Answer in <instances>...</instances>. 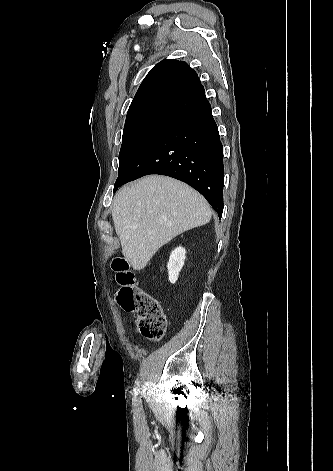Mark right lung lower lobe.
<instances>
[{"label": "right lung lower lobe", "instance_id": "98d812e1", "mask_svg": "<svg viewBox=\"0 0 333 471\" xmlns=\"http://www.w3.org/2000/svg\"><path fill=\"white\" fill-rule=\"evenodd\" d=\"M149 174L167 175L199 191L221 218L223 212V146L211 105L203 97L158 134L114 185Z\"/></svg>", "mask_w": 333, "mask_h": 471}]
</instances>
